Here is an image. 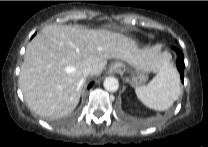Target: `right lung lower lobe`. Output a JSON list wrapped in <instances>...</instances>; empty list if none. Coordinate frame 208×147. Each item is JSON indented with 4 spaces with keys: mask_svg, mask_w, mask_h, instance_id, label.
Listing matches in <instances>:
<instances>
[{
    "mask_svg": "<svg viewBox=\"0 0 208 147\" xmlns=\"http://www.w3.org/2000/svg\"><path fill=\"white\" fill-rule=\"evenodd\" d=\"M93 83L89 84L88 88L92 87Z\"/></svg>",
    "mask_w": 208,
    "mask_h": 147,
    "instance_id": "1",
    "label": "right lung lower lobe"
}]
</instances>
